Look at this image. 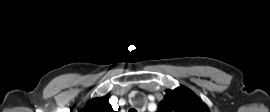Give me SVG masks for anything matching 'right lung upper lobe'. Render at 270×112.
<instances>
[{
    "label": "right lung upper lobe",
    "instance_id": "right-lung-upper-lobe-1",
    "mask_svg": "<svg viewBox=\"0 0 270 112\" xmlns=\"http://www.w3.org/2000/svg\"><path fill=\"white\" fill-rule=\"evenodd\" d=\"M80 112H116L108 103V97L92 99Z\"/></svg>",
    "mask_w": 270,
    "mask_h": 112
}]
</instances>
